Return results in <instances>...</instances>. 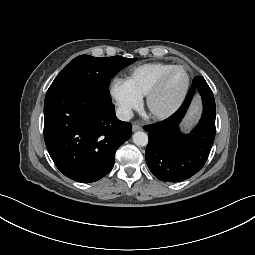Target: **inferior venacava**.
I'll use <instances>...</instances> for the list:
<instances>
[{
    "mask_svg": "<svg viewBox=\"0 0 255 255\" xmlns=\"http://www.w3.org/2000/svg\"><path fill=\"white\" fill-rule=\"evenodd\" d=\"M116 116L121 121H129L133 117V112L127 108H118L116 110Z\"/></svg>",
    "mask_w": 255,
    "mask_h": 255,
    "instance_id": "inferior-vena-cava-1",
    "label": "inferior vena cava"
}]
</instances>
